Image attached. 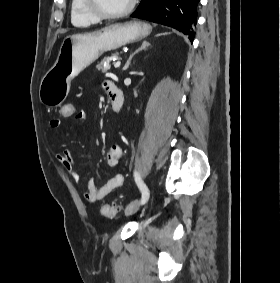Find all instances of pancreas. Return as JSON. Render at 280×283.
I'll return each instance as SVG.
<instances>
[{
	"instance_id": "cf45deb5",
	"label": "pancreas",
	"mask_w": 280,
	"mask_h": 283,
	"mask_svg": "<svg viewBox=\"0 0 280 283\" xmlns=\"http://www.w3.org/2000/svg\"><path fill=\"white\" fill-rule=\"evenodd\" d=\"M118 55H119L118 52L112 54V56H114V57H117ZM108 61H109V57H108V56L104 57V58L96 65V68H97L99 71H102L103 73H104V72H107V71L110 69V65L108 64V65L105 67L104 64H105L106 62H108Z\"/></svg>"
}]
</instances>
